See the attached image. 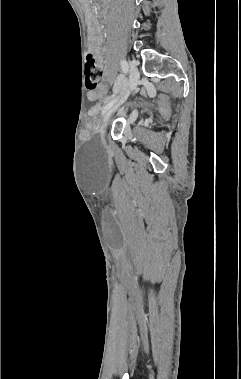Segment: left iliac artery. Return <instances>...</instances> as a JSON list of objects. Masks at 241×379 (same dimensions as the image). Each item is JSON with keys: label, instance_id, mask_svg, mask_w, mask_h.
Here are the masks:
<instances>
[{"label": "left iliac artery", "instance_id": "left-iliac-artery-1", "mask_svg": "<svg viewBox=\"0 0 241 379\" xmlns=\"http://www.w3.org/2000/svg\"><path fill=\"white\" fill-rule=\"evenodd\" d=\"M120 64H121V68H122L123 72H124V73H127L128 70H129V66H128V63L126 62V60L121 59V60H120ZM110 98H112V100H111L110 102H108V103L104 106V108H103V110H102V114H104V113H105L110 107H112V106L116 103V101H117V99L114 98V95H112Z\"/></svg>", "mask_w": 241, "mask_h": 379}]
</instances>
